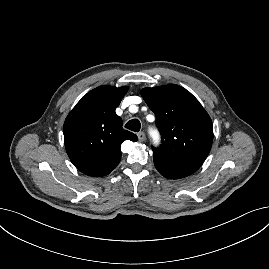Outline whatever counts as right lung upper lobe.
<instances>
[{"mask_svg":"<svg viewBox=\"0 0 269 269\" xmlns=\"http://www.w3.org/2000/svg\"><path fill=\"white\" fill-rule=\"evenodd\" d=\"M127 87L100 86L87 93L67 116L64 144L74 166L86 175L109 174L120 162L123 141H137L135 134L123 130L116 115Z\"/></svg>","mask_w":269,"mask_h":269,"instance_id":"cb5924a9","label":"right lung upper lobe"}]
</instances>
